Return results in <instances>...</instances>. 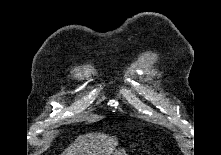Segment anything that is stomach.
<instances>
[{
  "instance_id": "1",
  "label": "stomach",
  "mask_w": 221,
  "mask_h": 155,
  "mask_svg": "<svg viewBox=\"0 0 221 155\" xmlns=\"http://www.w3.org/2000/svg\"><path fill=\"white\" fill-rule=\"evenodd\" d=\"M115 155H127L125 150L122 149V150H119L117 153H115Z\"/></svg>"
}]
</instances>
